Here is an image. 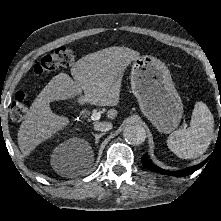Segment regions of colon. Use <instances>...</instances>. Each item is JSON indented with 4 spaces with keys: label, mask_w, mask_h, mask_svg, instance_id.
Masks as SVG:
<instances>
[{
    "label": "colon",
    "mask_w": 221,
    "mask_h": 221,
    "mask_svg": "<svg viewBox=\"0 0 221 221\" xmlns=\"http://www.w3.org/2000/svg\"><path fill=\"white\" fill-rule=\"evenodd\" d=\"M76 53L67 46L58 47L53 52L45 55L33 68L35 75L55 72L61 68L74 64ZM27 114V97L23 92H17L11 105L10 115L12 120L19 122Z\"/></svg>",
    "instance_id": "colon-1"
}]
</instances>
